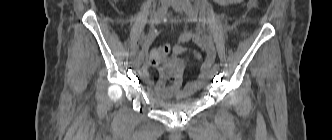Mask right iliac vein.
Segmentation results:
<instances>
[{
	"mask_svg": "<svg viewBox=\"0 0 332 140\" xmlns=\"http://www.w3.org/2000/svg\"><path fill=\"white\" fill-rule=\"evenodd\" d=\"M170 0H161V6H167L169 4ZM144 60V54L142 52H139L136 60H135V66L139 68Z\"/></svg>",
	"mask_w": 332,
	"mask_h": 140,
	"instance_id": "obj_1",
	"label": "right iliac vein"
}]
</instances>
